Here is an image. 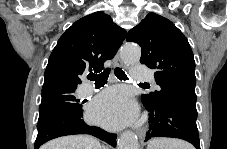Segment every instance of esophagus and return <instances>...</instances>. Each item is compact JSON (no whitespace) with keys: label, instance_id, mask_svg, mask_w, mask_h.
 Instances as JSON below:
<instances>
[{"label":"esophagus","instance_id":"esophagus-1","mask_svg":"<svg viewBox=\"0 0 227 149\" xmlns=\"http://www.w3.org/2000/svg\"><path fill=\"white\" fill-rule=\"evenodd\" d=\"M114 63L116 66H123V61L120 57V53L117 52V54L114 57ZM145 128L144 127H140L139 129H137V134L140 138H143L145 136Z\"/></svg>","mask_w":227,"mask_h":149}]
</instances>
